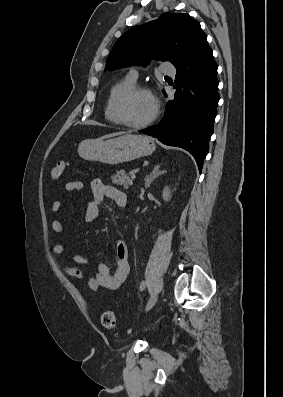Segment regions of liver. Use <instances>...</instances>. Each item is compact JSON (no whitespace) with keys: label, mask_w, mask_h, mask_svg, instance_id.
<instances>
[{"label":"liver","mask_w":283,"mask_h":397,"mask_svg":"<svg viewBox=\"0 0 283 397\" xmlns=\"http://www.w3.org/2000/svg\"><path fill=\"white\" fill-rule=\"evenodd\" d=\"M120 134H122V133L121 132L112 133V134H109V135H105L103 138L113 137V136H117V135H120Z\"/></svg>","instance_id":"1"}]
</instances>
